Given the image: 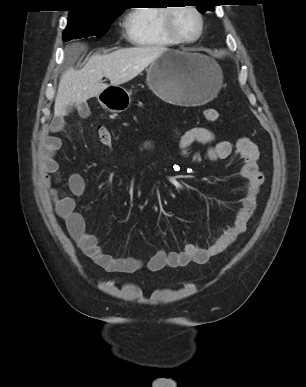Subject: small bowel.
Instances as JSON below:
<instances>
[{
    "label": "small bowel",
    "mask_w": 306,
    "mask_h": 387,
    "mask_svg": "<svg viewBox=\"0 0 306 387\" xmlns=\"http://www.w3.org/2000/svg\"><path fill=\"white\" fill-rule=\"evenodd\" d=\"M65 127L64 117L55 118L48 128L40 153L42 179L52 199L57 215L77 246L96 265L107 272L134 273L144 266V262L134 257H114L103 251L97 236L88 233L82 215L76 211L74 197L80 196L86 189L82 175L71 174L67 179V190L56 186L61 182L60 165L56 153L61 148V139L55 135ZM178 148L183 157L195 163L217 161L230 157L235 152L241 162L240 175L245 180V192L237 210L233 225L214 238L206 248H200L187 242L181 251L158 250L147 262L146 268L155 272L166 267L176 268L190 263L204 264L215 255L228 248L239 235L244 233L247 223L256 209V199L264 178L259 170V150L257 145L247 137L231 141H216L214 133L202 126L193 127L178 135ZM207 145L204 153L190 151L193 144ZM142 150H153L154 143L144 141Z\"/></svg>",
    "instance_id": "obj_1"
}]
</instances>
